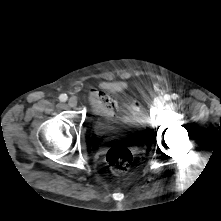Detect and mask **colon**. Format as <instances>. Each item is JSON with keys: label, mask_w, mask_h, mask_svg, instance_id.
Instances as JSON below:
<instances>
[{"label": "colon", "mask_w": 221, "mask_h": 221, "mask_svg": "<svg viewBox=\"0 0 221 221\" xmlns=\"http://www.w3.org/2000/svg\"><path fill=\"white\" fill-rule=\"evenodd\" d=\"M105 102L108 98L103 97ZM132 154L130 150L123 145H114L106 153L105 161L113 175H121L128 170L132 163Z\"/></svg>", "instance_id": "colon-1"}]
</instances>
